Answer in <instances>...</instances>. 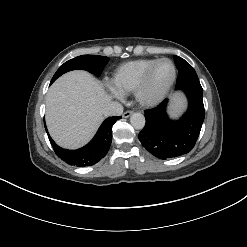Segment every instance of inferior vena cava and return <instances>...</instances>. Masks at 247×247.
<instances>
[{
	"mask_svg": "<svg viewBox=\"0 0 247 247\" xmlns=\"http://www.w3.org/2000/svg\"><path fill=\"white\" fill-rule=\"evenodd\" d=\"M123 113V106L118 102H109L103 109L104 116H119Z\"/></svg>",
	"mask_w": 247,
	"mask_h": 247,
	"instance_id": "obj_1",
	"label": "inferior vena cava"
}]
</instances>
